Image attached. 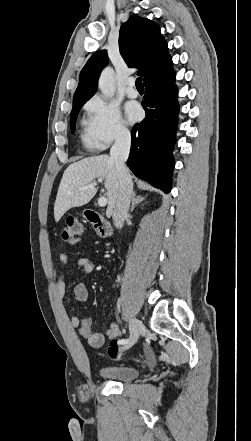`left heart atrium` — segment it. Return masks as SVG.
Returning a JSON list of instances; mask_svg holds the SVG:
<instances>
[{
    "instance_id": "1",
    "label": "left heart atrium",
    "mask_w": 251,
    "mask_h": 441,
    "mask_svg": "<svg viewBox=\"0 0 251 441\" xmlns=\"http://www.w3.org/2000/svg\"><path fill=\"white\" fill-rule=\"evenodd\" d=\"M127 118L130 122L138 121L142 116L140 106L135 102H130L125 107Z\"/></svg>"
}]
</instances>
